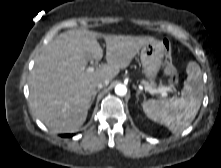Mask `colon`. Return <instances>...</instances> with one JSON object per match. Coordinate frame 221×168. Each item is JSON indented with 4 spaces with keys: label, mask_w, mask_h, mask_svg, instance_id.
<instances>
[{
    "label": "colon",
    "mask_w": 221,
    "mask_h": 168,
    "mask_svg": "<svg viewBox=\"0 0 221 168\" xmlns=\"http://www.w3.org/2000/svg\"><path fill=\"white\" fill-rule=\"evenodd\" d=\"M164 72L169 77L170 84L175 86L178 83V72L173 64L171 44L167 40L165 41Z\"/></svg>",
    "instance_id": "1"
}]
</instances>
